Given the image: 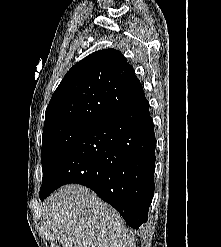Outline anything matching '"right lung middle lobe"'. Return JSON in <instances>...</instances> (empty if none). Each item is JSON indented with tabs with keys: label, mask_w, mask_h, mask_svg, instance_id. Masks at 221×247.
Listing matches in <instances>:
<instances>
[{
	"label": "right lung middle lobe",
	"mask_w": 221,
	"mask_h": 247,
	"mask_svg": "<svg viewBox=\"0 0 221 247\" xmlns=\"http://www.w3.org/2000/svg\"><path fill=\"white\" fill-rule=\"evenodd\" d=\"M92 127L86 124H67L61 127L43 130L41 149L42 186L67 150Z\"/></svg>",
	"instance_id": "right-lung-middle-lobe-1"
}]
</instances>
